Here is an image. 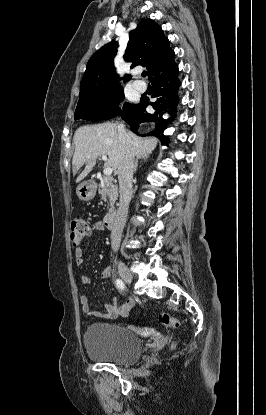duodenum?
<instances>
[{"label":"duodenum","instance_id":"obj_1","mask_svg":"<svg viewBox=\"0 0 266 415\" xmlns=\"http://www.w3.org/2000/svg\"><path fill=\"white\" fill-rule=\"evenodd\" d=\"M117 216L115 213H109L104 217L103 225L109 229L112 230L116 226Z\"/></svg>","mask_w":266,"mask_h":415}]
</instances>
